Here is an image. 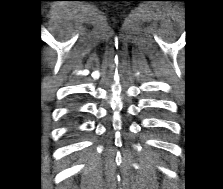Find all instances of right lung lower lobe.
Masks as SVG:
<instances>
[{
	"label": "right lung lower lobe",
	"mask_w": 223,
	"mask_h": 189,
	"mask_svg": "<svg viewBox=\"0 0 223 189\" xmlns=\"http://www.w3.org/2000/svg\"><path fill=\"white\" fill-rule=\"evenodd\" d=\"M76 119V113H71L69 114L68 116V119H67V123L69 126H72L74 124V120Z\"/></svg>",
	"instance_id": "right-lung-lower-lobe-1"
}]
</instances>
